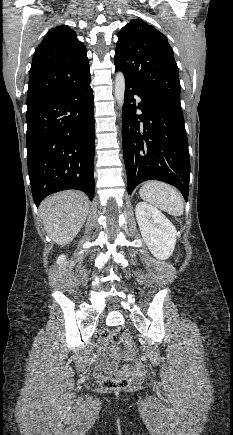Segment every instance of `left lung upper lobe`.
<instances>
[{
	"mask_svg": "<svg viewBox=\"0 0 233 435\" xmlns=\"http://www.w3.org/2000/svg\"><path fill=\"white\" fill-rule=\"evenodd\" d=\"M115 68L141 91L179 102L181 86L174 53L165 35L140 19H133L118 34Z\"/></svg>",
	"mask_w": 233,
	"mask_h": 435,
	"instance_id": "obj_1",
	"label": "left lung upper lobe"
}]
</instances>
